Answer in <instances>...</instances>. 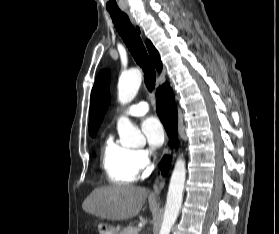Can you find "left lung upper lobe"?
Wrapping results in <instances>:
<instances>
[{
  "label": "left lung upper lobe",
  "instance_id": "obj_1",
  "mask_svg": "<svg viewBox=\"0 0 279 234\" xmlns=\"http://www.w3.org/2000/svg\"><path fill=\"white\" fill-rule=\"evenodd\" d=\"M109 105V72L102 70L97 75L91 92L89 133L95 136Z\"/></svg>",
  "mask_w": 279,
  "mask_h": 234
}]
</instances>
